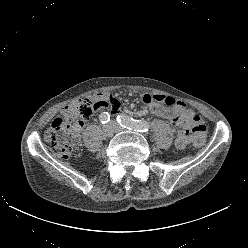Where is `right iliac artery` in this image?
I'll use <instances>...</instances> for the list:
<instances>
[{"label": "right iliac artery", "instance_id": "1", "mask_svg": "<svg viewBox=\"0 0 248 248\" xmlns=\"http://www.w3.org/2000/svg\"><path fill=\"white\" fill-rule=\"evenodd\" d=\"M99 120L102 124H106L110 121V115L108 112H103L99 115Z\"/></svg>", "mask_w": 248, "mask_h": 248}]
</instances>
